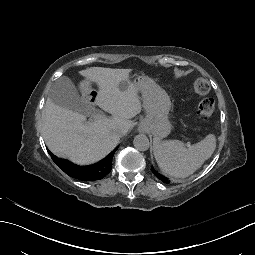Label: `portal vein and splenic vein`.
Listing matches in <instances>:
<instances>
[{"mask_svg": "<svg viewBox=\"0 0 255 255\" xmlns=\"http://www.w3.org/2000/svg\"><path fill=\"white\" fill-rule=\"evenodd\" d=\"M101 116H102V115H99V116H96L95 118H99V117H101ZM95 118H94V119H95ZM91 120H93V119H91Z\"/></svg>", "mask_w": 255, "mask_h": 255, "instance_id": "1", "label": "portal vein and splenic vein"}]
</instances>
